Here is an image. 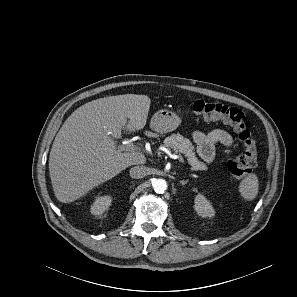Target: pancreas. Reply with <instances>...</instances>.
I'll list each match as a JSON object with an SVG mask.
<instances>
[{"label":"pancreas","instance_id":"1","mask_svg":"<svg viewBox=\"0 0 297 297\" xmlns=\"http://www.w3.org/2000/svg\"><path fill=\"white\" fill-rule=\"evenodd\" d=\"M163 143L173 152L184 154L192 171L207 170V165L198 159L194 151L195 148L189 139L180 134H172L166 137Z\"/></svg>","mask_w":297,"mask_h":297}]
</instances>
